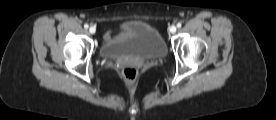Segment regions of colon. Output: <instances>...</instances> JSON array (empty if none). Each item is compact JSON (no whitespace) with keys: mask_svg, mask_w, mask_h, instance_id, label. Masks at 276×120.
<instances>
[{"mask_svg":"<svg viewBox=\"0 0 276 120\" xmlns=\"http://www.w3.org/2000/svg\"><path fill=\"white\" fill-rule=\"evenodd\" d=\"M122 75L129 87H134L137 84L138 68L134 63H125L122 67Z\"/></svg>","mask_w":276,"mask_h":120,"instance_id":"colon-1","label":"colon"}]
</instances>
